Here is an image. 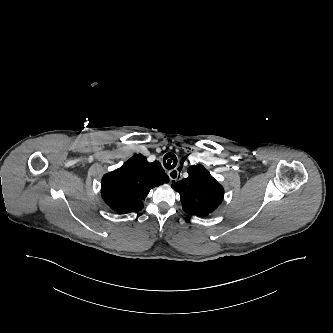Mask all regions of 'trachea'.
<instances>
[{
    "mask_svg": "<svg viewBox=\"0 0 333 333\" xmlns=\"http://www.w3.org/2000/svg\"><path fill=\"white\" fill-rule=\"evenodd\" d=\"M181 164V163H180ZM163 165L166 169H173L177 165V157L174 153H167L163 158Z\"/></svg>",
    "mask_w": 333,
    "mask_h": 333,
    "instance_id": "trachea-1",
    "label": "trachea"
}]
</instances>
